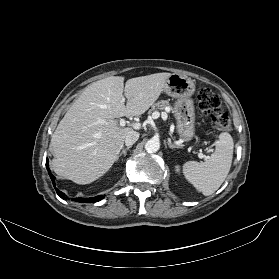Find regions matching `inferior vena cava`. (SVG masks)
Instances as JSON below:
<instances>
[{"label":"inferior vena cava","mask_w":279,"mask_h":279,"mask_svg":"<svg viewBox=\"0 0 279 279\" xmlns=\"http://www.w3.org/2000/svg\"><path fill=\"white\" fill-rule=\"evenodd\" d=\"M139 133L136 131H130L125 137V145L131 146L139 139Z\"/></svg>","instance_id":"1"}]
</instances>
